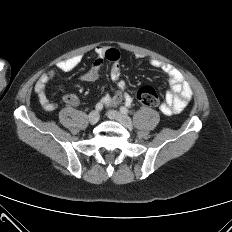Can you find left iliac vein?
Instances as JSON below:
<instances>
[{
    "mask_svg": "<svg viewBox=\"0 0 232 232\" xmlns=\"http://www.w3.org/2000/svg\"><path fill=\"white\" fill-rule=\"evenodd\" d=\"M107 116L112 120H116V121L120 122L123 126H125L127 128L132 127V121H131L130 117L127 116L126 114H123L121 112H117L114 110H109L107 112Z\"/></svg>",
    "mask_w": 232,
    "mask_h": 232,
    "instance_id": "obj_1",
    "label": "left iliac vein"
}]
</instances>
